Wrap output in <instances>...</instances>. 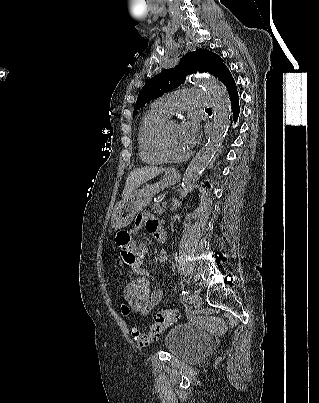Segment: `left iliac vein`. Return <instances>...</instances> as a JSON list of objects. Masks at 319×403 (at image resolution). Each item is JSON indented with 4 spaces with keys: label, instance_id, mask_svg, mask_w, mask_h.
<instances>
[{
    "label": "left iliac vein",
    "instance_id": "obj_1",
    "mask_svg": "<svg viewBox=\"0 0 319 403\" xmlns=\"http://www.w3.org/2000/svg\"><path fill=\"white\" fill-rule=\"evenodd\" d=\"M191 302L192 304L195 306L196 309H198L201 304H202V300L200 295L198 294V292H193L192 296H191Z\"/></svg>",
    "mask_w": 319,
    "mask_h": 403
}]
</instances>
